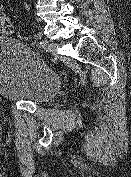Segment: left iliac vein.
Instances as JSON below:
<instances>
[{
	"instance_id": "4c4485c4",
	"label": "left iliac vein",
	"mask_w": 131,
	"mask_h": 177,
	"mask_svg": "<svg viewBox=\"0 0 131 177\" xmlns=\"http://www.w3.org/2000/svg\"><path fill=\"white\" fill-rule=\"evenodd\" d=\"M58 48H59V44L52 42V43H50V44L48 45L47 50H48L52 55L56 56V55H57Z\"/></svg>"
}]
</instances>
